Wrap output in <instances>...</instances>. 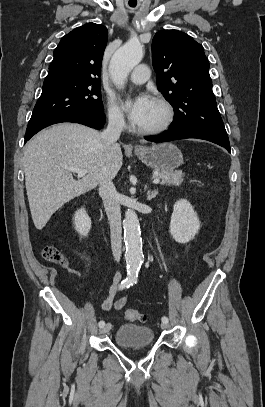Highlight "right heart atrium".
I'll list each match as a JSON object with an SVG mask.
<instances>
[{
    "mask_svg": "<svg viewBox=\"0 0 265 407\" xmlns=\"http://www.w3.org/2000/svg\"><path fill=\"white\" fill-rule=\"evenodd\" d=\"M107 120L115 128L123 129L126 127L125 116L118 106L111 100L107 103L106 108Z\"/></svg>",
    "mask_w": 265,
    "mask_h": 407,
    "instance_id": "1",
    "label": "right heart atrium"
}]
</instances>
